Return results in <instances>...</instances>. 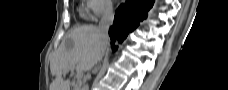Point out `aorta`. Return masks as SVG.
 <instances>
[{
    "mask_svg": "<svg viewBox=\"0 0 228 90\" xmlns=\"http://www.w3.org/2000/svg\"><path fill=\"white\" fill-rule=\"evenodd\" d=\"M83 90H89V86L88 85H84Z\"/></svg>",
    "mask_w": 228,
    "mask_h": 90,
    "instance_id": "aorta-1",
    "label": "aorta"
}]
</instances>
